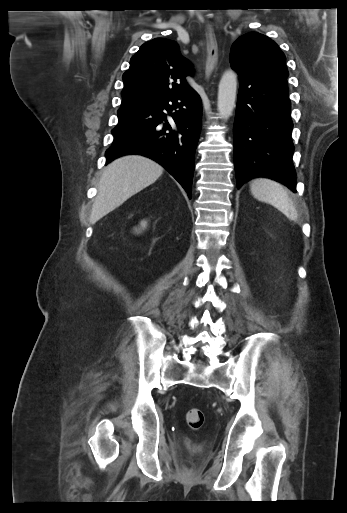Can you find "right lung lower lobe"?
I'll return each instance as SVG.
<instances>
[{
	"label": "right lung lower lobe",
	"mask_w": 347,
	"mask_h": 513,
	"mask_svg": "<svg viewBox=\"0 0 347 513\" xmlns=\"http://www.w3.org/2000/svg\"><path fill=\"white\" fill-rule=\"evenodd\" d=\"M201 117V101L193 89L146 106L118 111L106 163L127 154L149 157L168 170L191 198Z\"/></svg>",
	"instance_id": "obj_1"
}]
</instances>
